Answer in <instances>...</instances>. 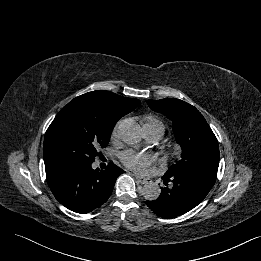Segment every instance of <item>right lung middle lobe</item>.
<instances>
[{
    "label": "right lung middle lobe",
    "mask_w": 261,
    "mask_h": 261,
    "mask_svg": "<svg viewBox=\"0 0 261 261\" xmlns=\"http://www.w3.org/2000/svg\"><path fill=\"white\" fill-rule=\"evenodd\" d=\"M117 123L101 115L89 102H69L46 131L43 157L45 167L71 162H92L105 148Z\"/></svg>",
    "instance_id": "right-lung-middle-lobe-1"
}]
</instances>
